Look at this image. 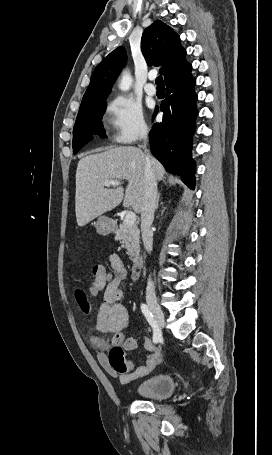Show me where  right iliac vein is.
I'll use <instances>...</instances> for the list:
<instances>
[{
	"mask_svg": "<svg viewBox=\"0 0 272 455\" xmlns=\"http://www.w3.org/2000/svg\"><path fill=\"white\" fill-rule=\"evenodd\" d=\"M147 304L149 306V309L153 313L158 326L160 328H163L165 325V318H164V314H163L160 306L158 305L157 301L155 299L150 298L147 300Z\"/></svg>",
	"mask_w": 272,
	"mask_h": 455,
	"instance_id": "1",
	"label": "right iliac vein"
}]
</instances>
